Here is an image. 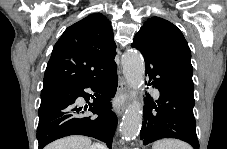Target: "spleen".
<instances>
[{
    "instance_id": "1",
    "label": "spleen",
    "mask_w": 227,
    "mask_h": 149,
    "mask_svg": "<svg viewBox=\"0 0 227 149\" xmlns=\"http://www.w3.org/2000/svg\"><path fill=\"white\" fill-rule=\"evenodd\" d=\"M152 149H191V147L179 140L163 139L156 141Z\"/></svg>"
}]
</instances>
